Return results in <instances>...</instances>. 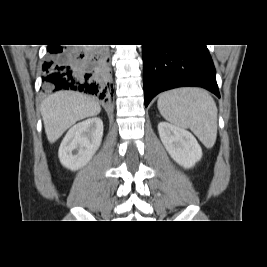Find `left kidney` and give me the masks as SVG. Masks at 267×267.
Returning <instances> with one entry per match:
<instances>
[{
    "label": "left kidney",
    "instance_id": "left-kidney-1",
    "mask_svg": "<svg viewBox=\"0 0 267 267\" xmlns=\"http://www.w3.org/2000/svg\"><path fill=\"white\" fill-rule=\"evenodd\" d=\"M158 131L164 147L179 165L191 168L201 159L202 149L189 131L167 122H160Z\"/></svg>",
    "mask_w": 267,
    "mask_h": 267
}]
</instances>
